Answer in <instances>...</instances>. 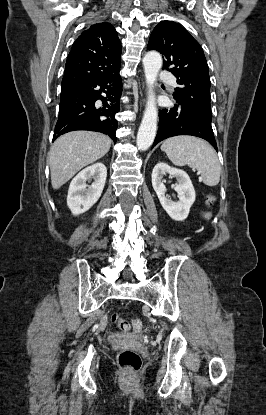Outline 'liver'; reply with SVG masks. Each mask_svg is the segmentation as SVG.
Instances as JSON below:
<instances>
[{
  "label": "liver",
  "instance_id": "6515ba94",
  "mask_svg": "<svg viewBox=\"0 0 266 415\" xmlns=\"http://www.w3.org/2000/svg\"><path fill=\"white\" fill-rule=\"evenodd\" d=\"M110 146L108 136L91 131H73L59 137L49 152L53 189H59L83 167L102 158Z\"/></svg>",
  "mask_w": 266,
  "mask_h": 415
}]
</instances>
